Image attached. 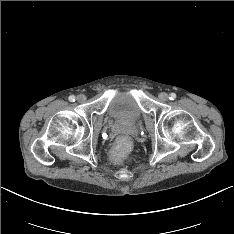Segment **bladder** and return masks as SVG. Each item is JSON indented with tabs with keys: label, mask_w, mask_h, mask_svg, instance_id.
<instances>
[{
	"label": "bladder",
	"mask_w": 234,
	"mask_h": 234,
	"mask_svg": "<svg viewBox=\"0 0 234 234\" xmlns=\"http://www.w3.org/2000/svg\"><path fill=\"white\" fill-rule=\"evenodd\" d=\"M106 116L121 124H134L142 117V111L132 94L119 93L113 96L106 107Z\"/></svg>",
	"instance_id": "bladder-1"
}]
</instances>
